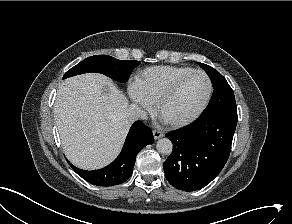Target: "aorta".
<instances>
[{
  "mask_svg": "<svg viewBox=\"0 0 292 224\" xmlns=\"http://www.w3.org/2000/svg\"><path fill=\"white\" fill-rule=\"evenodd\" d=\"M156 148L161 154H171L173 144L168 138H161L157 141Z\"/></svg>",
  "mask_w": 292,
  "mask_h": 224,
  "instance_id": "obj_1",
  "label": "aorta"
}]
</instances>
